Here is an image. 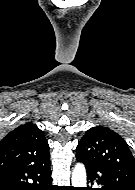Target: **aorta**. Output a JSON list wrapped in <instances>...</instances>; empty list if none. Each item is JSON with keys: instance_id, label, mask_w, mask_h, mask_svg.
I'll return each instance as SVG.
<instances>
[{"instance_id": "1", "label": "aorta", "mask_w": 135, "mask_h": 190, "mask_svg": "<svg viewBox=\"0 0 135 190\" xmlns=\"http://www.w3.org/2000/svg\"><path fill=\"white\" fill-rule=\"evenodd\" d=\"M72 185L73 187H86V169L83 164L78 163L75 165L72 172Z\"/></svg>"}]
</instances>
